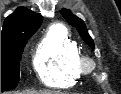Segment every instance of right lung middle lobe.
Instances as JSON below:
<instances>
[{"instance_id": "dd1d6c3e", "label": "right lung middle lobe", "mask_w": 121, "mask_h": 94, "mask_svg": "<svg viewBox=\"0 0 121 94\" xmlns=\"http://www.w3.org/2000/svg\"><path fill=\"white\" fill-rule=\"evenodd\" d=\"M27 33L1 43V92L15 88L19 82L21 55L28 39L34 34Z\"/></svg>"}]
</instances>
